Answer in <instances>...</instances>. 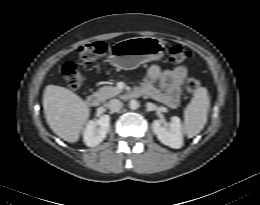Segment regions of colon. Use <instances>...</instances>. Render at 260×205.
Returning a JSON list of instances; mask_svg holds the SVG:
<instances>
[{"mask_svg": "<svg viewBox=\"0 0 260 205\" xmlns=\"http://www.w3.org/2000/svg\"><path fill=\"white\" fill-rule=\"evenodd\" d=\"M105 44L103 42H92L77 47L74 51L77 60L83 64H92L105 54ZM169 59L172 63H181L189 59V51L179 44L168 46ZM62 73L67 86L73 90L80 88L84 82V74L73 60H67L62 65ZM200 83L195 78L187 81V91L194 94L198 91Z\"/></svg>", "mask_w": 260, "mask_h": 205, "instance_id": "obj_1", "label": "colon"}]
</instances>
